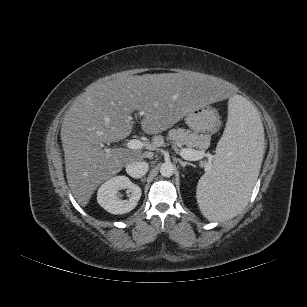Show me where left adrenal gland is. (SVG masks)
<instances>
[{
    "label": "left adrenal gland",
    "mask_w": 307,
    "mask_h": 307,
    "mask_svg": "<svg viewBox=\"0 0 307 307\" xmlns=\"http://www.w3.org/2000/svg\"><path fill=\"white\" fill-rule=\"evenodd\" d=\"M178 161H179L180 165H181L183 168H185L187 165H188V166L195 167V165H193V164L190 163V162H185V161H182L181 159H179Z\"/></svg>",
    "instance_id": "left-adrenal-gland-1"
}]
</instances>
